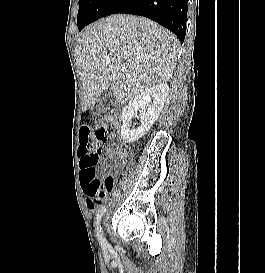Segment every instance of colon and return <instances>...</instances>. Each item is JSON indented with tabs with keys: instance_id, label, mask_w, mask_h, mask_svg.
I'll use <instances>...</instances> for the list:
<instances>
[{
	"instance_id": "5ec220e1",
	"label": "colon",
	"mask_w": 265,
	"mask_h": 273,
	"mask_svg": "<svg viewBox=\"0 0 265 273\" xmlns=\"http://www.w3.org/2000/svg\"><path fill=\"white\" fill-rule=\"evenodd\" d=\"M119 128L117 119L95 129H80L81 183L85 194L105 197L113 188L112 177L98 178L99 144H109Z\"/></svg>"
}]
</instances>
